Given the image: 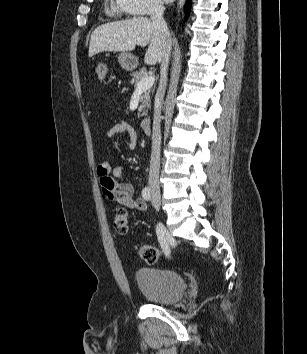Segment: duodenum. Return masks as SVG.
Listing matches in <instances>:
<instances>
[{"mask_svg": "<svg viewBox=\"0 0 307 354\" xmlns=\"http://www.w3.org/2000/svg\"><path fill=\"white\" fill-rule=\"evenodd\" d=\"M141 128L146 134H150L152 131V121L150 118H143L141 120Z\"/></svg>", "mask_w": 307, "mask_h": 354, "instance_id": "duodenum-1", "label": "duodenum"}]
</instances>
